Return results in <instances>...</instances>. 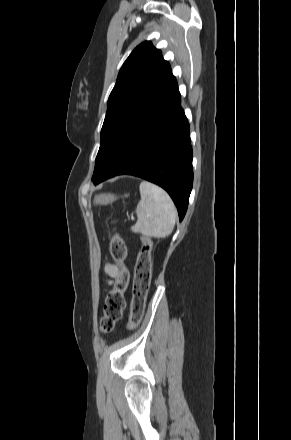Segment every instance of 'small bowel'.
I'll use <instances>...</instances> for the list:
<instances>
[{"label": "small bowel", "mask_w": 291, "mask_h": 440, "mask_svg": "<svg viewBox=\"0 0 291 440\" xmlns=\"http://www.w3.org/2000/svg\"><path fill=\"white\" fill-rule=\"evenodd\" d=\"M104 272L109 276H116L118 274V269L114 264L106 262L104 265Z\"/></svg>", "instance_id": "1"}]
</instances>
